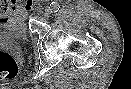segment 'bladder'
Instances as JSON below:
<instances>
[{
    "label": "bladder",
    "mask_w": 131,
    "mask_h": 89,
    "mask_svg": "<svg viewBox=\"0 0 131 89\" xmlns=\"http://www.w3.org/2000/svg\"><path fill=\"white\" fill-rule=\"evenodd\" d=\"M28 34L25 13L11 11L0 14V43L24 40Z\"/></svg>",
    "instance_id": "bladder-1"
}]
</instances>
